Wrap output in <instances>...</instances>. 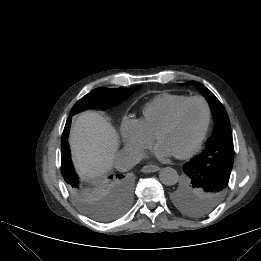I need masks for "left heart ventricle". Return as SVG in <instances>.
<instances>
[{
	"label": "left heart ventricle",
	"instance_id": "b2bd125f",
	"mask_svg": "<svg viewBox=\"0 0 261 261\" xmlns=\"http://www.w3.org/2000/svg\"><path fill=\"white\" fill-rule=\"evenodd\" d=\"M205 118L204 105L199 101L190 102L184 107L176 123L160 135L159 142L168 145L175 154L186 150L199 137Z\"/></svg>",
	"mask_w": 261,
	"mask_h": 261
}]
</instances>
